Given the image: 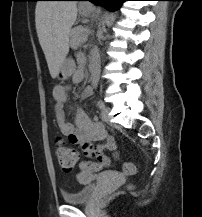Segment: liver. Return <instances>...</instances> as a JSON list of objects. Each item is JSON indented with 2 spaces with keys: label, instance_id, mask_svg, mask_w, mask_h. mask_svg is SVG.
I'll list each match as a JSON object with an SVG mask.
<instances>
[{
  "label": "liver",
  "instance_id": "liver-1",
  "mask_svg": "<svg viewBox=\"0 0 202 217\" xmlns=\"http://www.w3.org/2000/svg\"><path fill=\"white\" fill-rule=\"evenodd\" d=\"M77 11L74 1H40L36 5L37 35L52 78L57 77L69 52L70 30Z\"/></svg>",
  "mask_w": 202,
  "mask_h": 217
}]
</instances>
